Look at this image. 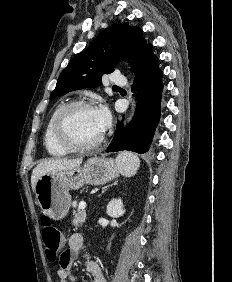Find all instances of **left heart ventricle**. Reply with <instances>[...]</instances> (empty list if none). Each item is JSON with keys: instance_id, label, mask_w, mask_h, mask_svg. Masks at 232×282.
I'll return each instance as SVG.
<instances>
[{"instance_id": "left-heart-ventricle-1", "label": "left heart ventricle", "mask_w": 232, "mask_h": 282, "mask_svg": "<svg viewBox=\"0 0 232 282\" xmlns=\"http://www.w3.org/2000/svg\"><path fill=\"white\" fill-rule=\"evenodd\" d=\"M63 130L65 135L77 144L92 143L103 133L93 108L71 110L66 116Z\"/></svg>"}]
</instances>
